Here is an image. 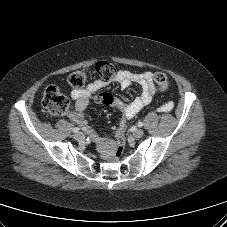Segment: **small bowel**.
I'll return each mask as SVG.
<instances>
[{
	"mask_svg": "<svg viewBox=\"0 0 227 227\" xmlns=\"http://www.w3.org/2000/svg\"><path fill=\"white\" fill-rule=\"evenodd\" d=\"M119 84L121 88H128L133 83L138 84L142 90L141 94L131 102H124L120 98L109 93H102L96 99L104 104L111 105L123 114V120L115 134L114 138H104L100 136L95 130L87 125L84 118V110L90 102L91 95L104 88L108 82L102 79H97L88 84L84 89H75L71 92V97L75 103V109L71 111L68 116L76 124L80 125L87 134L96 143L97 149L101 156L105 159L114 155L118 144V137L121 130L124 129L126 122L136 116L145 106H147L153 99L155 94L154 76L151 72H132L129 70H120L112 80ZM173 103L168 102L159 108L161 112L172 110Z\"/></svg>",
	"mask_w": 227,
	"mask_h": 227,
	"instance_id": "c3829d8e",
	"label": "small bowel"
}]
</instances>
